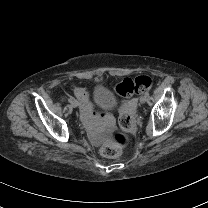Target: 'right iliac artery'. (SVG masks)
Here are the masks:
<instances>
[{"instance_id": "right-iliac-artery-1", "label": "right iliac artery", "mask_w": 208, "mask_h": 208, "mask_svg": "<svg viewBox=\"0 0 208 208\" xmlns=\"http://www.w3.org/2000/svg\"><path fill=\"white\" fill-rule=\"evenodd\" d=\"M68 102H69V103H72V102H73V99H72V98H69V99H68Z\"/></svg>"}]
</instances>
